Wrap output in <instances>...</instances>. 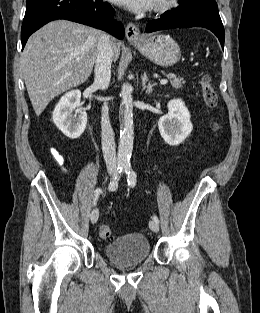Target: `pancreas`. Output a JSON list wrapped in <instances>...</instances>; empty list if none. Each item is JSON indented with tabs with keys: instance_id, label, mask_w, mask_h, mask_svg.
<instances>
[{
	"instance_id": "cf45deb5",
	"label": "pancreas",
	"mask_w": 260,
	"mask_h": 313,
	"mask_svg": "<svg viewBox=\"0 0 260 313\" xmlns=\"http://www.w3.org/2000/svg\"><path fill=\"white\" fill-rule=\"evenodd\" d=\"M167 77L170 79L171 86L175 89H181L183 87V84L185 83L183 78H177L173 74H168Z\"/></svg>"
}]
</instances>
